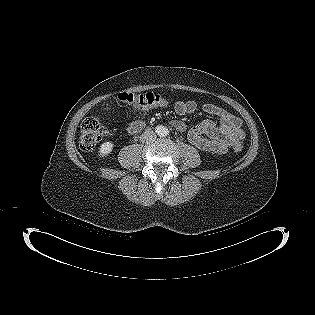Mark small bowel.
<instances>
[{
	"instance_id": "c3829d8e",
	"label": "small bowel",
	"mask_w": 315,
	"mask_h": 315,
	"mask_svg": "<svg viewBox=\"0 0 315 315\" xmlns=\"http://www.w3.org/2000/svg\"><path fill=\"white\" fill-rule=\"evenodd\" d=\"M174 110L180 116L192 114L197 110V103L193 100L177 101ZM202 110L215 116L218 122L205 120L187 129L184 122L175 119L171 121V125L179 131L187 129L189 142L203 151L224 153L232 146L242 145L245 132L239 118L212 103L204 104Z\"/></svg>"
}]
</instances>
